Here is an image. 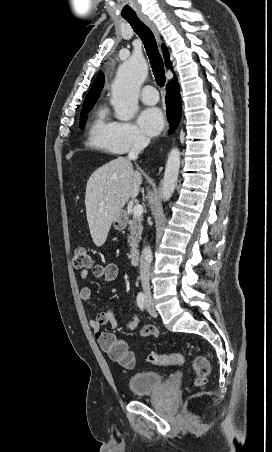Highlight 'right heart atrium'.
<instances>
[{
    "instance_id": "right-heart-atrium-1",
    "label": "right heart atrium",
    "mask_w": 272,
    "mask_h": 452,
    "mask_svg": "<svg viewBox=\"0 0 272 452\" xmlns=\"http://www.w3.org/2000/svg\"><path fill=\"white\" fill-rule=\"evenodd\" d=\"M147 138L141 130L131 122H116L112 134V143L119 152H127L146 144Z\"/></svg>"
}]
</instances>
